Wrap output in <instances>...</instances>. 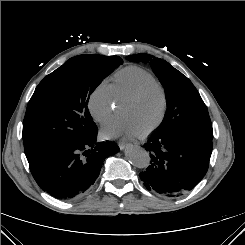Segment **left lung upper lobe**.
<instances>
[{"instance_id":"left-lung-upper-lobe-1","label":"left lung upper lobe","mask_w":245,"mask_h":245,"mask_svg":"<svg viewBox=\"0 0 245 245\" xmlns=\"http://www.w3.org/2000/svg\"><path fill=\"white\" fill-rule=\"evenodd\" d=\"M127 59L151 63V68L164 86L167 111L157 132L193 130L213 138L207 107L192 82L168 62L149 54H135Z\"/></svg>"}]
</instances>
